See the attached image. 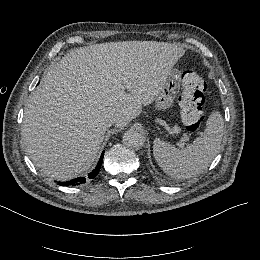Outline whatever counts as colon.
<instances>
[{"label":"colon","mask_w":260,"mask_h":260,"mask_svg":"<svg viewBox=\"0 0 260 260\" xmlns=\"http://www.w3.org/2000/svg\"><path fill=\"white\" fill-rule=\"evenodd\" d=\"M206 82L195 71H187L181 79L179 105L185 130L196 131L202 124Z\"/></svg>","instance_id":"1"}]
</instances>
